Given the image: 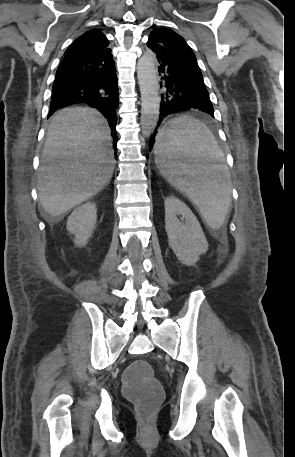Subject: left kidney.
<instances>
[{
    "instance_id": "5707ae66",
    "label": "left kidney",
    "mask_w": 295,
    "mask_h": 457,
    "mask_svg": "<svg viewBox=\"0 0 295 457\" xmlns=\"http://www.w3.org/2000/svg\"><path fill=\"white\" fill-rule=\"evenodd\" d=\"M181 215V219L178 216ZM165 229L174 254L185 265H194L208 243L195 215L174 196L165 199Z\"/></svg>"
}]
</instances>
